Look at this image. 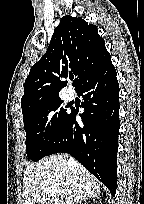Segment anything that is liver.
Masks as SVG:
<instances>
[{
    "mask_svg": "<svg viewBox=\"0 0 144 204\" xmlns=\"http://www.w3.org/2000/svg\"><path fill=\"white\" fill-rule=\"evenodd\" d=\"M52 186L61 190L59 204H68L74 199L79 203L81 199L95 198L101 193L97 179L80 163L69 164L67 156L52 155L26 167L23 204L44 202L47 189Z\"/></svg>",
    "mask_w": 144,
    "mask_h": 204,
    "instance_id": "1",
    "label": "liver"
}]
</instances>
